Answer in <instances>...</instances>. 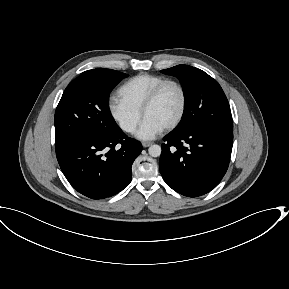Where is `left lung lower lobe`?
Listing matches in <instances>:
<instances>
[{
  "label": "left lung lower lobe",
  "mask_w": 289,
  "mask_h": 289,
  "mask_svg": "<svg viewBox=\"0 0 289 289\" xmlns=\"http://www.w3.org/2000/svg\"><path fill=\"white\" fill-rule=\"evenodd\" d=\"M164 141L160 171L164 181L182 195L198 197L210 192L228 169L232 132L193 127L173 130Z\"/></svg>",
  "instance_id": "0a47b994"
}]
</instances>
